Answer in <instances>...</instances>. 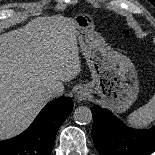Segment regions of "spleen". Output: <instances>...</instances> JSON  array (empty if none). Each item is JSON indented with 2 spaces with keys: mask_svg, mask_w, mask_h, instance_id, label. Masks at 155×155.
Segmentation results:
<instances>
[{
  "mask_svg": "<svg viewBox=\"0 0 155 155\" xmlns=\"http://www.w3.org/2000/svg\"><path fill=\"white\" fill-rule=\"evenodd\" d=\"M155 120V95L149 100V102L132 112L127 117L129 125L136 128H144L149 126Z\"/></svg>",
  "mask_w": 155,
  "mask_h": 155,
  "instance_id": "1",
  "label": "spleen"
}]
</instances>
